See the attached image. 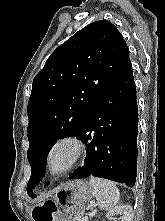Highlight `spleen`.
Masks as SVG:
<instances>
[{"label":"spleen","mask_w":165,"mask_h":221,"mask_svg":"<svg viewBox=\"0 0 165 221\" xmlns=\"http://www.w3.org/2000/svg\"><path fill=\"white\" fill-rule=\"evenodd\" d=\"M90 184L94 190V196L103 210H110L118 204L120 193L114 182L91 177Z\"/></svg>","instance_id":"3e777b00"}]
</instances>
